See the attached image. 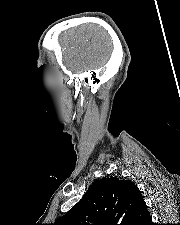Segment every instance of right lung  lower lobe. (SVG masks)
Instances as JSON below:
<instances>
[{"label":"right lung lower lobe","instance_id":"1","mask_svg":"<svg viewBox=\"0 0 180 225\" xmlns=\"http://www.w3.org/2000/svg\"><path fill=\"white\" fill-rule=\"evenodd\" d=\"M149 225H154V224L151 222V223H149Z\"/></svg>","mask_w":180,"mask_h":225}]
</instances>
